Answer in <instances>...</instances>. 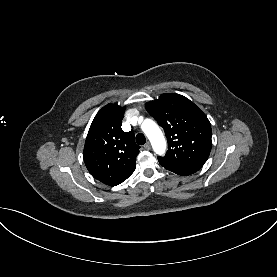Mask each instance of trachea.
<instances>
[{
  "mask_svg": "<svg viewBox=\"0 0 277 277\" xmlns=\"http://www.w3.org/2000/svg\"><path fill=\"white\" fill-rule=\"evenodd\" d=\"M136 142H137V144H139V145L145 144V142H146L145 136H144L142 133L137 134V135H136Z\"/></svg>",
  "mask_w": 277,
  "mask_h": 277,
  "instance_id": "1",
  "label": "trachea"
}]
</instances>
